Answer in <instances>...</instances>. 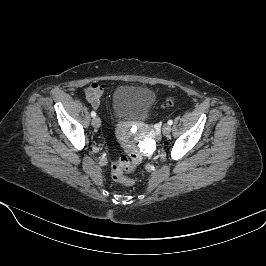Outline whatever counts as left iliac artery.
Returning <instances> with one entry per match:
<instances>
[{
  "instance_id": "left-iliac-artery-1",
  "label": "left iliac artery",
  "mask_w": 266,
  "mask_h": 266,
  "mask_svg": "<svg viewBox=\"0 0 266 266\" xmlns=\"http://www.w3.org/2000/svg\"><path fill=\"white\" fill-rule=\"evenodd\" d=\"M168 124L169 125H172L173 124V121L172 120H168Z\"/></svg>"
}]
</instances>
